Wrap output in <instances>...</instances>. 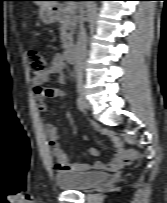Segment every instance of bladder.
Masks as SVG:
<instances>
[{
    "instance_id": "31cf9c89",
    "label": "bladder",
    "mask_w": 167,
    "mask_h": 203,
    "mask_svg": "<svg viewBox=\"0 0 167 203\" xmlns=\"http://www.w3.org/2000/svg\"><path fill=\"white\" fill-rule=\"evenodd\" d=\"M53 178L60 188L79 190L106 182L109 179V174L102 171L62 170L57 172Z\"/></svg>"
}]
</instances>
